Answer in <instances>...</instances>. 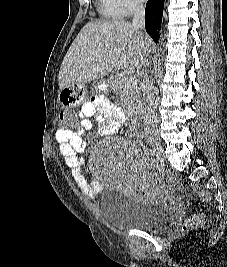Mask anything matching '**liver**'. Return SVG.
Wrapping results in <instances>:
<instances>
[{"label":"liver","instance_id":"6515ba94","mask_svg":"<svg viewBox=\"0 0 227 267\" xmlns=\"http://www.w3.org/2000/svg\"><path fill=\"white\" fill-rule=\"evenodd\" d=\"M151 45V39L128 21H91L82 28L64 57L59 88L67 87L68 82L100 80L113 69L139 71Z\"/></svg>","mask_w":227,"mask_h":267}]
</instances>
